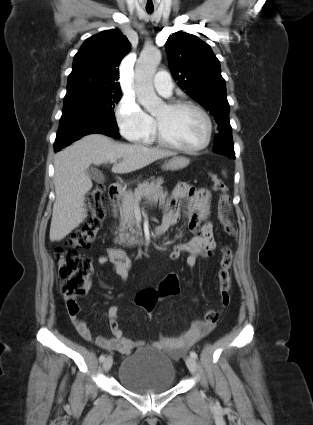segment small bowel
Instances as JSON below:
<instances>
[{
    "instance_id": "c3829d8e",
    "label": "small bowel",
    "mask_w": 313,
    "mask_h": 425,
    "mask_svg": "<svg viewBox=\"0 0 313 425\" xmlns=\"http://www.w3.org/2000/svg\"><path fill=\"white\" fill-rule=\"evenodd\" d=\"M210 192L205 188L196 189L188 183L180 182L173 191L172 200L169 211L163 217L160 228L164 231L175 225L180 219V203L186 201V215L190 231L194 236L187 242L179 243L173 246L169 257L177 260L183 253H188L186 263L189 267H194L197 259L207 248H214L215 242L213 238V226L209 217ZM99 264L110 263L123 280L128 278L130 269V260L118 248H109L107 254L97 258ZM67 310L72 324L79 335L86 341L94 342L97 346L105 349L116 351L124 355H128L131 351L142 345V341H135L123 335L118 322V307L111 306L107 312L112 337L97 336L94 337L85 321L79 318V306L76 303L75 309H72L67 303ZM204 321H197L177 338H169L161 336L158 340L153 341L151 345L155 348L166 349L174 358L180 355L194 345L197 341L205 337L212 329Z\"/></svg>"
}]
</instances>
